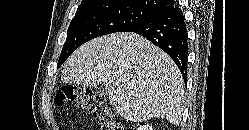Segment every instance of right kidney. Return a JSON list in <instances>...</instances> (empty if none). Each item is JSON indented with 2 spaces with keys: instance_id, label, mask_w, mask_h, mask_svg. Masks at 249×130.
Returning <instances> with one entry per match:
<instances>
[{
  "instance_id": "obj_1",
  "label": "right kidney",
  "mask_w": 249,
  "mask_h": 130,
  "mask_svg": "<svg viewBox=\"0 0 249 130\" xmlns=\"http://www.w3.org/2000/svg\"><path fill=\"white\" fill-rule=\"evenodd\" d=\"M137 130H152V126H150V125H143V126H139L138 128H137Z\"/></svg>"
}]
</instances>
